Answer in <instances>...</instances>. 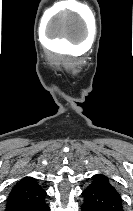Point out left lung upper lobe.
I'll return each instance as SVG.
<instances>
[{"label": "left lung upper lobe", "mask_w": 133, "mask_h": 211, "mask_svg": "<svg viewBox=\"0 0 133 211\" xmlns=\"http://www.w3.org/2000/svg\"><path fill=\"white\" fill-rule=\"evenodd\" d=\"M90 186L107 190L119 195L116 189L110 184L109 179L104 175L98 174L93 176V181Z\"/></svg>", "instance_id": "5c2ea615"}]
</instances>
